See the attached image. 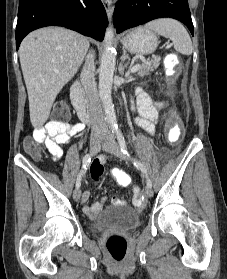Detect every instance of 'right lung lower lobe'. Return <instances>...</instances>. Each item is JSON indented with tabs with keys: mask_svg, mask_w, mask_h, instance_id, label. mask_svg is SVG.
<instances>
[{
	"mask_svg": "<svg viewBox=\"0 0 227 279\" xmlns=\"http://www.w3.org/2000/svg\"><path fill=\"white\" fill-rule=\"evenodd\" d=\"M107 15L101 0H20L16 26V49L31 31L62 26L103 40Z\"/></svg>",
	"mask_w": 227,
	"mask_h": 279,
	"instance_id": "obj_1",
	"label": "right lung lower lobe"
}]
</instances>
